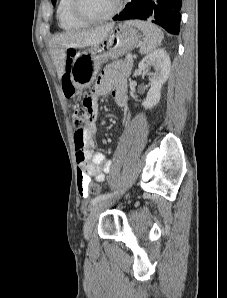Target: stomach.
Instances as JSON below:
<instances>
[{
    "label": "stomach",
    "instance_id": "1",
    "mask_svg": "<svg viewBox=\"0 0 227 298\" xmlns=\"http://www.w3.org/2000/svg\"><path fill=\"white\" fill-rule=\"evenodd\" d=\"M139 40L140 34L136 28L128 22L119 23L100 43L78 52L68 69L77 91L81 93L93 83L103 61L132 51Z\"/></svg>",
    "mask_w": 227,
    "mask_h": 298
}]
</instances>
